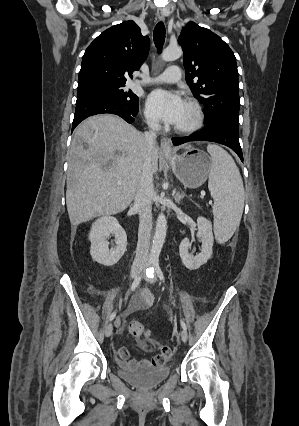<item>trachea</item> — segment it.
<instances>
[{
  "label": "trachea",
  "mask_w": 299,
  "mask_h": 426,
  "mask_svg": "<svg viewBox=\"0 0 299 426\" xmlns=\"http://www.w3.org/2000/svg\"><path fill=\"white\" fill-rule=\"evenodd\" d=\"M165 26L163 22H159L154 29L153 32V40L155 43V46L157 47L158 50H161V48L164 45L165 42Z\"/></svg>",
  "instance_id": "obj_1"
}]
</instances>
